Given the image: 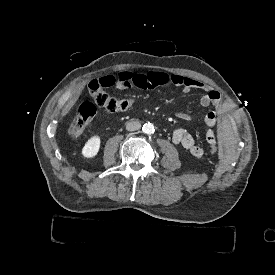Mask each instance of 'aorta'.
<instances>
[{
	"instance_id": "aorta-1",
	"label": "aorta",
	"mask_w": 275,
	"mask_h": 275,
	"mask_svg": "<svg viewBox=\"0 0 275 275\" xmlns=\"http://www.w3.org/2000/svg\"><path fill=\"white\" fill-rule=\"evenodd\" d=\"M142 130L144 133L146 134H153L155 129H154V125L150 122L145 123L142 127Z\"/></svg>"
}]
</instances>
